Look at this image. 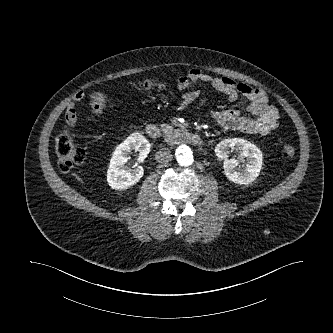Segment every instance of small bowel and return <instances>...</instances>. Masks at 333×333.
I'll return each mask as SVG.
<instances>
[{
    "mask_svg": "<svg viewBox=\"0 0 333 333\" xmlns=\"http://www.w3.org/2000/svg\"><path fill=\"white\" fill-rule=\"evenodd\" d=\"M197 84L212 86L216 91L227 95L230 101H236L239 95H243L249 100L248 110L253 117L243 116L239 110L230 107L210 113L211 119L216 123L251 135H267L278 127L279 113L275 107L269 104L263 90L236 82L228 77H213L197 68L189 70L186 76L179 78L176 82L178 90H189L181 96L177 103L178 108L188 106L198 98L199 91L194 89ZM85 97V93L79 92L68 104L65 112V121L68 126L76 127V104Z\"/></svg>",
    "mask_w": 333,
    "mask_h": 333,
    "instance_id": "obj_1",
    "label": "small bowel"
}]
</instances>
